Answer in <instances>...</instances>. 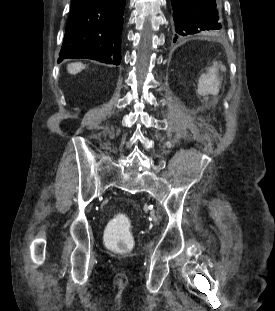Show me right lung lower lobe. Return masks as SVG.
Here are the masks:
<instances>
[{
	"mask_svg": "<svg viewBox=\"0 0 275 311\" xmlns=\"http://www.w3.org/2000/svg\"><path fill=\"white\" fill-rule=\"evenodd\" d=\"M125 0H72L58 62L87 58L118 65Z\"/></svg>",
	"mask_w": 275,
	"mask_h": 311,
	"instance_id": "1",
	"label": "right lung lower lobe"
}]
</instances>
